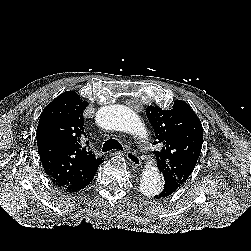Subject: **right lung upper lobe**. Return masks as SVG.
Returning <instances> with one entry per match:
<instances>
[{
  "label": "right lung upper lobe",
  "mask_w": 251,
  "mask_h": 251,
  "mask_svg": "<svg viewBox=\"0 0 251 251\" xmlns=\"http://www.w3.org/2000/svg\"><path fill=\"white\" fill-rule=\"evenodd\" d=\"M87 106L75 91H66L41 113L36 134L38 152L46 174L58 187L82 186L103 162L83 143Z\"/></svg>",
  "instance_id": "1"
}]
</instances>
